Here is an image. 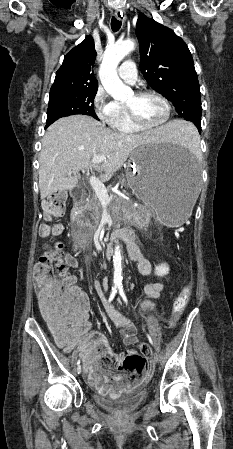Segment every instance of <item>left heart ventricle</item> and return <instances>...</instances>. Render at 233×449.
Here are the masks:
<instances>
[{
	"label": "left heart ventricle",
	"mask_w": 233,
	"mask_h": 449,
	"mask_svg": "<svg viewBox=\"0 0 233 449\" xmlns=\"http://www.w3.org/2000/svg\"><path fill=\"white\" fill-rule=\"evenodd\" d=\"M125 104L132 106L138 117L148 124L158 123L165 116V105L155 96L137 98L132 94Z\"/></svg>",
	"instance_id": "left-heart-ventricle-1"
}]
</instances>
